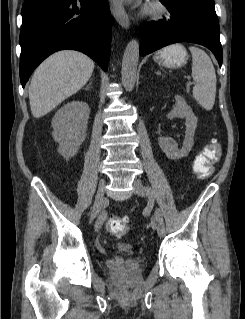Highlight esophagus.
I'll return each instance as SVG.
<instances>
[{"instance_id": "esophagus-1", "label": "esophagus", "mask_w": 245, "mask_h": 319, "mask_svg": "<svg viewBox=\"0 0 245 319\" xmlns=\"http://www.w3.org/2000/svg\"><path fill=\"white\" fill-rule=\"evenodd\" d=\"M110 9L115 20L125 29L130 27L129 17L121 0H110Z\"/></svg>"}]
</instances>
